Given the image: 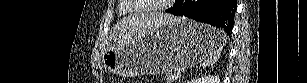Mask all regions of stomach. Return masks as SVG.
Returning a JSON list of instances; mask_svg holds the SVG:
<instances>
[{
  "instance_id": "1",
  "label": "stomach",
  "mask_w": 307,
  "mask_h": 83,
  "mask_svg": "<svg viewBox=\"0 0 307 83\" xmlns=\"http://www.w3.org/2000/svg\"><path fill=\"white\" fill-rule=\"evenodd\" d=\"M216 30L186 18L158 26L102 56L105 68L117 76L135 77L179 71L202 60L216 47Z\"/></svg>"
}]
</instances>
